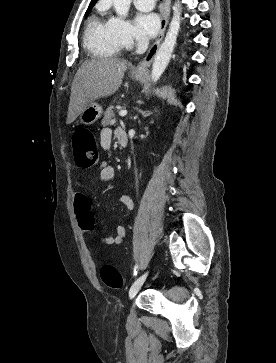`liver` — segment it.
Returning a JSON list of instances; mask_svg holds the SVG:
<instances>
[{
  "instance_id": "liver-1",
  "label": "liver",
  "mask_w": 276,
  "mask_h": 363,
  "mask_svg": "<svg viewBox=\"0 0 276 363\" xmlns=\"http://www.w3.org/2000/svg\"><path fill=\"white\" fill-rule=\"evenodd\" d=\"M130 64L118 58L87 60L78 69L71 86L67 124L95 100L114 94Z\"/></svg>"
}]
</instances>
